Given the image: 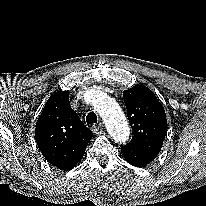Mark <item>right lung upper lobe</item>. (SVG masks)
Wrapping results in <instances>:
<instances>
[{"label": "right lung upper lobe", "mask_w": 206, "mask_h": 206, "mask_svg": "<svg viewBox=\"0 0 206 206\" xmlns=\"http://www.w3.org/2000/svg\"><path fill=\"white\" fill-rule=\"evenodd\" d=\"M92 132L70 107L69 91H58L47 100L37 120L35 138L45 160L61 170L81 160Z\"/></svg>", "instance_id": "right-lung-upper-lobe-1"}]
</instances>
